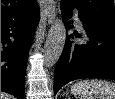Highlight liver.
<instances>
[{
	"mask_svg": "<svg viewBox=\"0 0 115 99\" xmlns=\"http://www.w3.org/2000/svg\"><path fill=\"white\" fill-rule=\"evenodd\" d=\"M10 98L11 96H9L8 94L1 92V99H10Z\"/></svg>",
	"mask_w": 115,
	"mask_h": 99,
	"instance_id": "obj_1",
	"label": "liver"
}]
</instances>
